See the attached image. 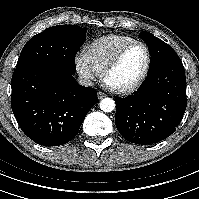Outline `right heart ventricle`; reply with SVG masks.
Masks as SVG:
<instances>
[{
	"mask_svg": "<svg viewBox=\"0 0 199 199\" xmlns=\"http://www.w3.org/2000/svg\"><path fill=\"white\" fill-rule=\"evenodd\" d=\"M133 41L135 39L130 36L110 34L91 42L87 51L95 65L102 71L122 47Z\"/></svg>",
	"mask_w": 199,
	"mask_h": 199,
	"instance_id": "e07e8e85",
	"label": "right heart ventricle"
}]
</instances>
